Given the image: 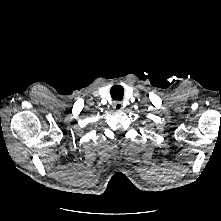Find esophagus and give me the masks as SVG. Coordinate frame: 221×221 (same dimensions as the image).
<instances>
[{"instance_id": "esophagus-1", "label": "esophagus", "mask_w": 221, "mask_h": 221, "mask_svg": "<svg viewBox=\"0 0 221 221\" xmlns=\"http://www.w3.org/2000/svg\"><path fill=\"white\" fill-rule=\"evenodd\" d=\"M113 107L116 111H121L123 109V104L121 102L117 101L114 103Z\"/></svg>"}]
</instances>
